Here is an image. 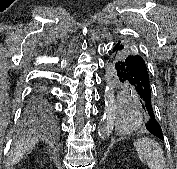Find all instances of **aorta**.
I'll return each mask as SVG.
<instances>
[{
  "label": "aorta",
  "instance_id": "762f6f07",
  "mask_svg": "<svg viewBox=\"0 0 177 169\" xmlns=\"http://www.w3.org/2000/svg\"><path fill=\"white\" fill-rule=\"evenodd\" d=\"M116 100L111 89L105 94V110L103 119L101 122V135L104 137H109L114 129L116 121Z\"/></svg>",
  "mask_w": 177,
  "mask_h": 169
}]
</instances>
